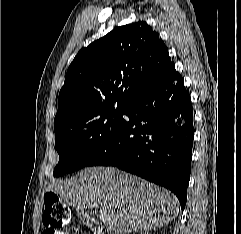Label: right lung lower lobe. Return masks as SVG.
Masks as SVG:
<instances>
[{"label":"right lung lower lobe","mask_w":241,"mask_h":234,"mask_svg":"<svg viewBox=\"0 0 241 234\" xmlns=\"http://www.w3.org/2000/svg\"><path fill=\"white\" fill-rule=\"evenodd\" d=\"M119 127L87 166H115L187 201L194 128L191 98L174 63L127 105Z\"/></svg>","instance_id":"98d812e1"}]
</instances>
